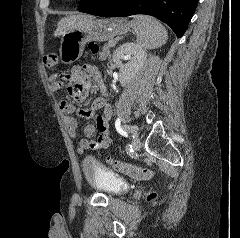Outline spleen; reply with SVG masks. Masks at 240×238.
Listing matches in <instances>:
<instances>
[{
	"mask_svg": "<svg viewBox=\"0 0 240 238\" xmlns=\"http://www.w3.org/2000/svg\"><path fill=\"white\" fill-rule=\"evenodd\" d=\"M130 24L136 34L137 43L144 49L161 47L168 39L165 27L152 17L137 15Z\"/></svg>",
	"mask_w": 240,
	"mask_h": 238,
	"instance_id": "3e777b00",
	"label": "spleen"
}]
</instances>
